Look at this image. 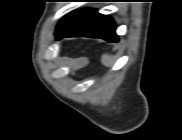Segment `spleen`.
I'll use <instances>...</instances> for the list:
<instances>
[{
    "mask_svg": "<svg viewBox=\"0 0 182 140\" xmlns=\"http://www.w3.org/2000/svg\"><path fill=\"white\" fill-rule=\"evenodd\" d=\"M109 56L108 55H103L102 56V62L107 65V66H110L111 65V62H109Z\"/></svg>",
    "mask_w": 182,
    "mask_h": 140,
    "instance_id": "spleen-1",
    "label": "spleen"
}]
</instances>
